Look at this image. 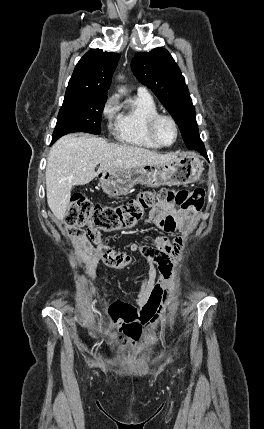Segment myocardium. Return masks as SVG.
<instances>
[{"label": "myocardium", "mask_w": 264, "mask_h": 429, "mask_svg": "<svg viewBox=\"0 0 264 429\" xmlns=\"http://www.w3.org/2000/svg\"><path fill=\"white\" fill-rule=\"evenodd\" d=\"M161 120H168L174 127L175 137H174V140L169 144L163 143L157 135V125ZM147 131L150 138L160 147L172 146L173 144L176 143L179 137V127L176 120L171 115L163 114V113H157L150 118L147 125Z\"/></svg>", "instance_id": "1"}]
</instances>
